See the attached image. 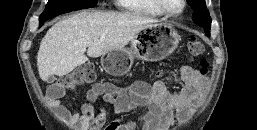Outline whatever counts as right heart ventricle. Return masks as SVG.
I'll return each mask as SVG.
<instances>
[{"instance_id":"right-heart-ventricle-1","label":"right heart ventricle","mask_w":257,"mask_h":130,"mask_svg":"<svg viewBox=\"0 0 257 130\" xmlns=\"http://www.w3.org/2000/svg\"><path fill=\"white\" fill-rule=\"evenodd\" d=\"M125 11L142 16H162L164 13L157 7L154 0H116Z\"/></svg>"}]
</instances>
